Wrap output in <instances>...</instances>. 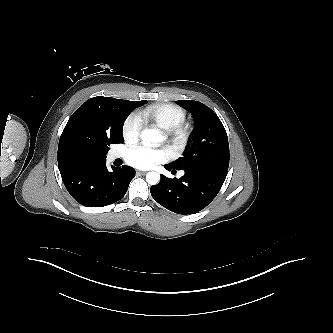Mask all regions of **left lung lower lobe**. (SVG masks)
I'll return each mask as SVG.
<instances>
[{"instance_id": "1", "label": "left lung lower lobe", "mask_w": 333, "mask_h": 333, "mask_svg": "<svg viewBox=\"0 0 333 333\" xmlns=\"http://www.w3.org/2000/svg\"><path fill=\"white\" fill-rule=\"evenodd\" d=\"M167 170L176 171L168 164ZM180 178H167L161 174L159 184L151 187L153 199L163 207L178 214L196 213L216 197L220 191L228 169L212 166H201L183 170Z\"/></svg>"}]
</instances>
